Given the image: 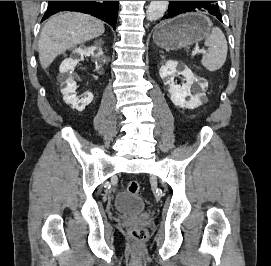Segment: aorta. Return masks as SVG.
<instances>
[{"mask_svg":"<svg viewBox=\"0 0 271 266\" xmlns=\"http://www.w3.org/2000/svg\"><path fill=\"white\" fill-rule=\"evenodd\" d=\"M168 1H151L146 11V17L149 21H156L166 12Z\"/></svg>","mask_w":271,"mask_h":266,"instance_id":"1","label":"aorta"}]
</instances>
